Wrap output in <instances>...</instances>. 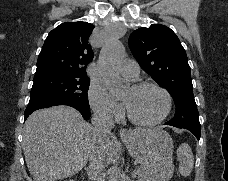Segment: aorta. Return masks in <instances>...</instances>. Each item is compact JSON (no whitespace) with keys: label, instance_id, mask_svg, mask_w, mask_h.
Here are the masks:
<instances>
[{"label":"aorta","instance_id":"aorta-1","mask_svg":"<svg viewBox=\"0 0 228 181\" xmlns=\"http://www.w3.org/2000/svg\"><path fill=\"white\" fill-rule=\"evenodd\" d=\"M125 49L122 43L115 37L110 38L103 46L98 61L104 84L112 96L122 94L128 87L117 70L118 64L124 58ZM122 175L118 168L113 167L109 171V181H121Z\"/></svg>","mask_w":228,"mask_h":181}]
</instances>
